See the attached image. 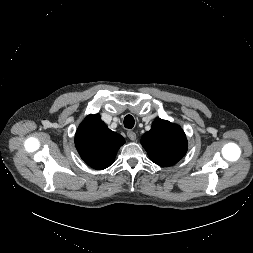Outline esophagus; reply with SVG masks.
<instances>
[{"mask_svg": "<svg viewBox=\"0 0 253 253\" xmlns=\"http://www.w3.org/2000/svg\"><path fill=\"white\" fill-rule=\"evenodd\" d=\"M127 136H128V138H129L130 140H132V141H135L136 138H137L136 133L133 132V131H128V132H127Z\"/></svg>", "mask_w": 253, "mask_h": 253, "instance_id": "obj_1", "label": "esophagus"}]
</instances>
